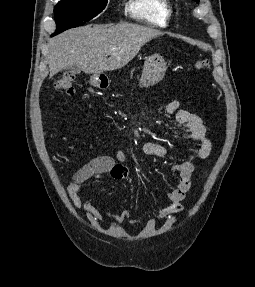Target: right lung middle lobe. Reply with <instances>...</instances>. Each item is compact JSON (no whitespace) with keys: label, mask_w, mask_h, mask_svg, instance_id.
Returning <instances> with one entry per match:
<instances>
[{"label":"right lung middle lobe","mask_w":255,"mask_h":287,"mask_svg":"<svg viewBox=\"0 0 255 287\" xmlns=\"http://www.w3.org/2000/svg\"><path fill=\"white\" fill-rule=\"evenodd\" d=\"M108 0H61L54 7L57 35L67 29L81 26L97 16Z\"/></svg>","instance_id":"1"}]
</instances>
